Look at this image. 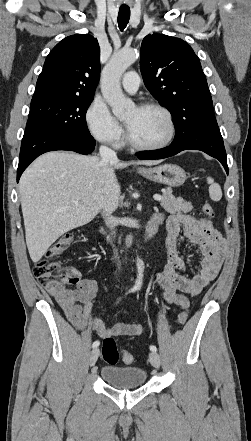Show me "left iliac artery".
Segmentation results:
<instances>
[{"mask_svg": "<svg viewBox=\"0 0 251 441\" xmlns=\"http://www.w3.org/2000/svg\"><path fill=\"white\" fill-rule=\"evenodd\" d=\"M150 350H151L152 352H156V351H157V348H156V346L151 345V346H150Z\"/></svg>", "mask_w": 251, "mask_h": 441, "instance_id": "left-iliac-artery-1", "label": "left iliac artery"}]
</instances>
